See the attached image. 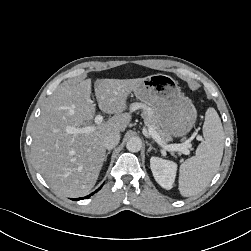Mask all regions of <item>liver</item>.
Wrapping results in <instances>:
<instances>
[{
	"label": "liver",
	"mask_w": 251,
	"mask_h": 251,
	"mask_svg": "<svg viewBox=\"0 0 251 251\" xmlns=\"http://www.w3.org/2000/svg\"><path fill=\"white\" fill-rule=\"evenodd\" d=\"M143 79L95 81L100 110L114 114L101 124H92L96 105L91 100L90 79L65 82L46 100L32 130L31 151L37 169L53 190L79 197L94 187L106 154L104 138L125 131L131 121L125 113L128 96ZM87 126L94 130L68 132Z\"/></svg>",
	"instance_id": "6515ba94"
}]
</instances>
